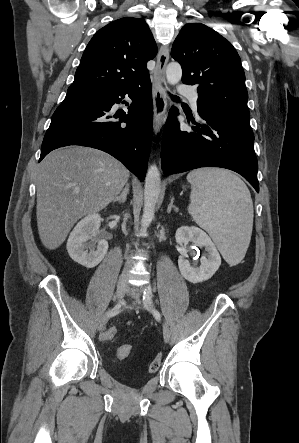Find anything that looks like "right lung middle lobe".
Listing matches in <instances>:
<instances>
[{"mask_svg": "<svg viewBox=\"0 0 299 443\" xmlns=\"http://www.w3.org/2000/svg\"><path fill=\"white\" fill-rule=\"evenodd\" d=\"M99 93H100V91H97V90L69 87L66 96L92 97V96H97Z\"/></svg>", "mask_w": 299, "mask_h": 443, "instance_id": "1", "label": "right lung middle lobe"}]
</instances>
